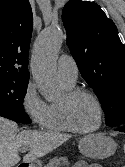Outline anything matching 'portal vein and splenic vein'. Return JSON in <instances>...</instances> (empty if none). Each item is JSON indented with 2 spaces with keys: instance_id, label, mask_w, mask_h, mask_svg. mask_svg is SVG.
<instances>
[{
  "instance_id": "obj_1",
  "label": "portal vein and splenic vein",
  "mask_w": 125,
  "mask_h": 167,
  "mask_svg": "<svg viewBox=\"0 0 125 167\" xmlns=\"http://www.w3.org/2000/svg\"><path fill=\"white\" fill-rule=\"evenodd\" d=\"M27 150H28V147H22V148H21V151H22V152H25V151H27Z\"/></svg>"
}]
</instances>
